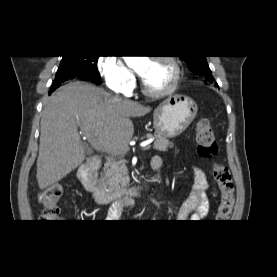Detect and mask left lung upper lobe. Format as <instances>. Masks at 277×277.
I'll use <instances>...</instances> for the list:
<instances>
[{
    "instance_id": "left-lung-upper-lobe-1",
    "label": "left lung upper lobe",
    "mask_w": 277,
    "mask_h": 277,
    "mask_svg": "<svg viewBox=\"0 0 277 277\" xmlns=\"http://www.w3.org/2000/svg\"><path fill=\"white\" fill-rule=\"evenodd\" d=\"M181 59L186 61L192 68L194 73L200 74L205 77V80L211 84L218 86L217 82L212 76V72L209 68L205 56H179Z\"/></svg>"
}]
</instances>
